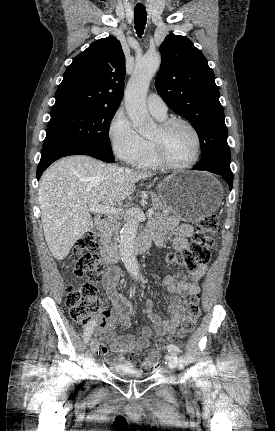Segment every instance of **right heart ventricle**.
Listing matches in <instances>:
<instances>
[{"instance_id": "right-heart-ventricle-1", "label": "right heart ventricle", "mask_w": 275, "mask_h": 431, "mask_svg": "<svg viewBox=\"0 0 275 431\" xmlns=\"http://www.w3.org/2000/svg\"><path fill=\"white\" fill-rule=\"evenodd\" d=\"M154 116L159 121L166 119V115L165 116L154 115ZM145 142H146V150L144 154L141 156V158L135 163V165L142 169H157L161 167L154 157L151 141L145 140Z\"/></svg>"}]
</instances>
